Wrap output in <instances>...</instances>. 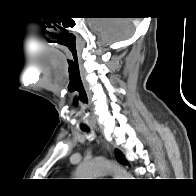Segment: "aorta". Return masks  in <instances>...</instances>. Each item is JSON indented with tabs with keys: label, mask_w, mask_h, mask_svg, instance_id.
I'll list each match as a JSON object with an SVG mask.
<instances>
[{
	"label": "aorta",
	"mask_w": 196,
	"mask_h": 196,
	"mask_svg": "<svg viewBox=\"0 0 196 196\" xmlns=\"http://www.w3.org/2000/svg\"><path fill=\"white\" fill-rule=\"evenodd\" d=\"M106 174H112L115 179H132L131 174L121 167L106 159H94L84 161L77 167L76 177L78 179H96Z\"/></svg>",
	"instance_id": "obj_1"
}]
</instances>
